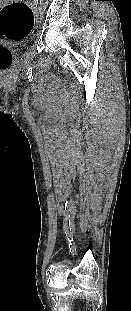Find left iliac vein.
I'll list each match as a JSON object with an SVG mask.
<instances>
[{"instance_id": "1", "label": "left iliac vein", "mask_w": 131, "mask_h": 311, "mask_svg": "<svg viewBox=\"0 0 131 311\" xmlns=\"http://www.w3.org/2000/svg\"><path fill=\"white\" fill-rule=\"evenodd\" d=\"M39 14H40V17H41V10H39Z\"/></svg>"}]
</instances>
